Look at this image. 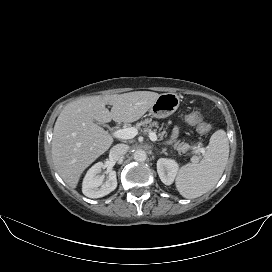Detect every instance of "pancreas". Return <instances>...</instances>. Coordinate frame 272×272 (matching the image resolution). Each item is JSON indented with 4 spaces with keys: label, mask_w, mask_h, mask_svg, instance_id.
Returning <instances> with one entry per match:
<instances>
[{
    "label": "pancreas",
    "mask_w": 272,
    "mask_h": 272,
    "mask_svg": "<svg viewBox=\"0 0 272 272\" xmlns=\"http://www.w3.org/2000/svg\"><path fill=\"white\" fill-rule=\"evenodd\" d=\"M147 125H149V127H156V128H158V122H157V121H153V122H152V121L149 120V119H145L144 121L139 122V123L137 124V128H138V129H141V126H147ZM146 131H147V130H143V132H146ZM165 133H166L165 131H162V132H160V133L158 134V136L160 137V139L163 138V136H164ZM175 148H176V150H177L179 153H186V152H188L189 149H193V151H194L195 153H197V150H196L194 147H191L189 144L184 143V142H182V143L176 145Z\"/></svg>",
    "instance_id": "1"
}]
</instances>
